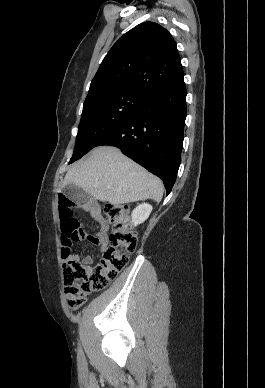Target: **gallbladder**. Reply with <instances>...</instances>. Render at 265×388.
Returning <instances> with one entry per match:
<instances>
[{"instance_id":"bac80fb5","label":"gallbladder","mask_w":265,"mask_h":388,"mask_svg":"<svg viewBox=\"0 0 265 388\" xmlns=\"http://www.w3.org/2000/svg\"><path fill=\"white\" fill-rule=\"evenodd\" d=\"M62 192L65 194L66 198L71 200L76 206H81V204H85V202L90 200V194L85 192L83 188L75 186V184H67V186H64Z\"/></svg>"}]
</instances>
